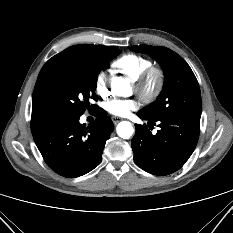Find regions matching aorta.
Returning a JSON list of instances; mask_svg holds the SVG:
<instances>
[{"mask_svg": "<svg viewBox=\"0 0 233 233\" xmlns=\"http://www.w3.org/2000/svg\"><path fill=\"white\" fill-rule=\"evenodd\" d=\"M111 89L118 96H127L130 91L129 82L123 77H115L111 81ZM117 134L123 139H129L133 132V126L128 121H122L117 125Z\"/></svg>", "mask_w": 233, "mask_h": 233, "instance_id": "obj_1", "label": "aorta"}]
</instances>
